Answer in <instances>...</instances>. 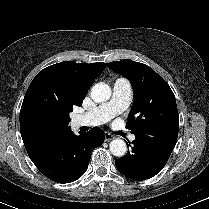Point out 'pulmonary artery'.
Wrapping results in <instances>:
<instances>
[{"label":"pulmonary artery","mask_w":209,"mask_h":209,"mask_svg":"<svg viewBox=\"0 0 209 209\" xmlns=\"http://www.w3.org/2000/svg\"><path fill=\"white\" fill-rule=\"evenodd\" d=\"M131 94L129 82L125 79H117L113 84L111 100L94 111L77 115L75 117L76 125L93 127L106 123L127 107ZM129 138L134 140L135 135H131Z\"/></svg>","instance_id":"obj_1"}]
</instances>
